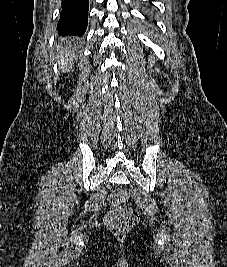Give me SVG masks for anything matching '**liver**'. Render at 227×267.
I'll use <instances>...</instances> for the list:
<instances>
[{"mask_svg": "<svg viewBox=\"0 0 227 267\" xmlns=\"http://www.w3.org/2000/svg\"><path fill=\"white\" fill-rule=\"evenodd\" d=\"M61 59V69L63 72H69L71 70V57L69 52L60 56Z\"/></svg>", "mask_w": 227, "mask_h": 267, "instance_id": "1", "label": "liver"}]
</instances>
